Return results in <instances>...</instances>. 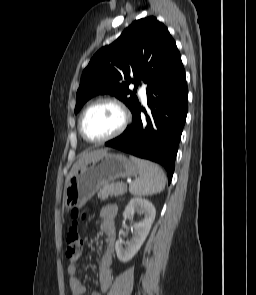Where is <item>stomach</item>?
<instances>
[{
	"label": "stomach",
	"instance_id": "1",
	"mask_svg": "<svg viewBox=\"0 0 256 295\" xmlns=\"http://www.w3.org/2000/svg\"><path fill=\"white\" fill-rule=\"evenodd\" d=\"M138 171V166L124 155L105 152L73 174L64 191V206L68 210L82 208L104 185Z\"/></svg>",
	"mask_w": 256,
	"mask_h": 295
}]
</instances>
